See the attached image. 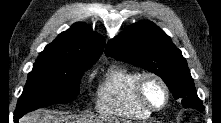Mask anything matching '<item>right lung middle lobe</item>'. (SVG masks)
Listing matches in <instances>:
<instances>
[{
    "label": "right lung middle lobe",
    "mask_w": 221,
    "mask_h": 123,
    "mask_svg": "<svg viewBox=\"0 0 221 123\" xmlns=\"http://www.w3.org/2000/svg\"><path fill=\"white\" fill-rule=\"evenodd\" d=\"M91 65L36 60L15 112L25 114L41 107L75 100L79 95L81 76Z\"/></svg>",
    "instance_id": "1"
}]
</instances>
